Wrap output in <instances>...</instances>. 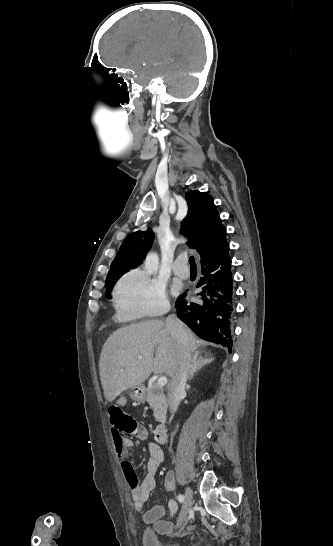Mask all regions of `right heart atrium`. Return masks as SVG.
Returning <instances> with one entry per match:
<instances>
[{"instance_id":"1","label":"right heart atrium","mask_w":333,"mask_h":546,"mask_svg":"<svg viewBox=\"0 0 333 546\" xmlns=\"http://www.w3.org/2000/svg\"><path fill=\"white\" fill-rule=\"evenodd\" d=\"M115 303L122 321L156 318L169 310L164 286L140 269L126 273L118 281Z\"/></svg>"}]
</instances>
